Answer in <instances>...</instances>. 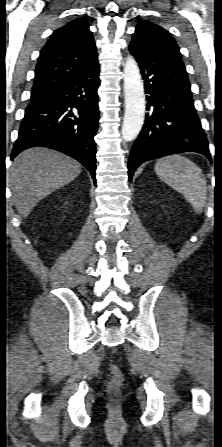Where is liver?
<instances>
[{"instance_id":"liver-1","label":"liver","mask_w":222,"mask_h":447,"mask_svg":"<svg viewBox=\"0 0 222 447\" xmlns=\"http://www.w3.org/2000/svg\"><path fill=\"white\" fill-rule=\"evenodd\" d=\"M81 164L57 151L35 147L20 153L9 171L12 198L26 218L40 200L74 180Z\"/></svg>"}]
</instances>
